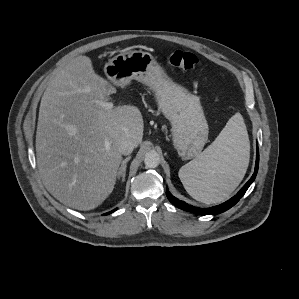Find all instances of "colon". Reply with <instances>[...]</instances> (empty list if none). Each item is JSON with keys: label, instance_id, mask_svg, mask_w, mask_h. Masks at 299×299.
I'll return each instance as SVG.
<instances>
[{"label": "colon", "instance_id": "obj_1", "mask_svg": "<svg viewBox=\"0 0 299 299\" xmlns=\"http://www.w3.org/2000/svg\"><path fill=\"white\" fill-rule=\"evenodd\" d=\"M167 62L183 70H192L198 64V58L191 52L175 50L166 57Z\"/></svg>", "mask_w": 299, "mask_h": 299}]
</instances>
